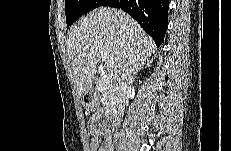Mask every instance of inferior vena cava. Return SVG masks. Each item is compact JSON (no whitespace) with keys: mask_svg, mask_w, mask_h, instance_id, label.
<instances>
[{"mask_svg":"<svg viewBox=\"0 0 231 151\" xmlns=\"http://www.w3.org/2000/svg\"><path fill=\"white\" fill-rule=\"evenodd\" d=\"M127 77L122 75L118 78L117 85V95H116V103H115V115L113 120V125L117 128L121 124V117L124 114V98H125V90L127 89ZM117 137V135H114Z\"/></svg>","mask_w":231,"mask_h":151,"instance_id":"602c4592","label":"inferior vena cava"}]
</instances>
